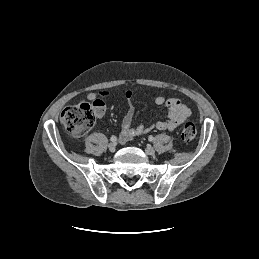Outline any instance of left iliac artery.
I'll use <instances>...</instances> for the list:
<instances>
[{
  "mask_svg": "<svg viewBox=\"0 0 259 259\" xmlns=\"http://www.w3.org/2000/svg\"><path fill=\"white\" fill-rule=\"evenodd\" d=\"M148 140H149V141H153V140H154V137H153V136H149Z\"/></svg>",
  "mask_w": 259,
  "mask_h": 259,
  "instance_id": "left-iliac-artery-1",
  "label": "left iliac artery"
}]
</instances>
